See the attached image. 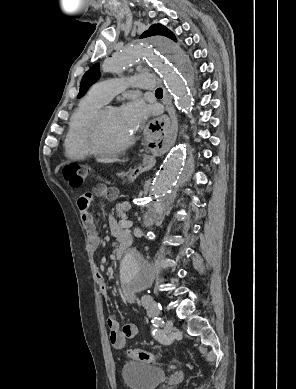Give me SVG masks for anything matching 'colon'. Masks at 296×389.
<instances>
[{
	"label": "colon",
	"mask_w": 296,
	"mask_h": 389,
	"mask_svg": "<svg viewBox=\"0 0 296 389\" xmlns=\"http://www.w3.org/2000/svg\"><path fill=\"white\" fill-rule=\"evenodd\" d=\"M87 174L88 168L80 164H70L63 169V176L69 186L73 189H79L83 186ZM128 355L136 361L150 365L155 364L158 361L157 354L142 349H130L128 350Z\"/></svg>",
	"instance_id": "5ec220e1"
}]
</instances>
